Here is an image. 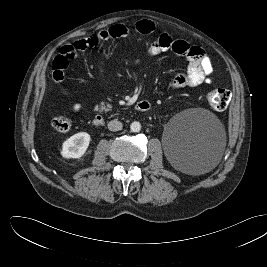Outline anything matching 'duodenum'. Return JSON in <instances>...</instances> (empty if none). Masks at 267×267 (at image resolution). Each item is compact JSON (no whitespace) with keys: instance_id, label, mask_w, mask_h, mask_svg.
Wrapping results in <instances>:
<instances>
[{"instance_id":"1","label":"duodenum","mask_w":267,"mask_h":267,"mask_svg":"<svg viewBox=\"0 0 267 267\" xmlns=\"http://www.w3.org/2000/svg\"><path fill=\"white\" fill-rule=\"evenodd\" d=\"M151 104L148 101H139L135 105V109L140 112L150 110ZM106 123L105 118L102 115H96L93 119V124L96 126H104Z\"/></svg>"}]
</instances>
